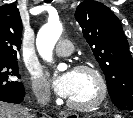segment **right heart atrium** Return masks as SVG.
Returning a JSON list of instances; mask_svg holds the SVG:
<instances>
[{
  "label": "right heart atrium",
  "instance_id": "obj_1",
  "mask_svg": "<svg viewBox=\"0 0 133 118\" xmlns=\"http://www.w3.org/2000/svg\"><path fill=\"white\" fill-rule=\"evenodd\" d=\"M32 89L34 94L40 99H46L49 97L48 83L41 73H33Z\"/></svg>",
  "mask_w": 133,
  "mask_h": 118
}]
</instances>
